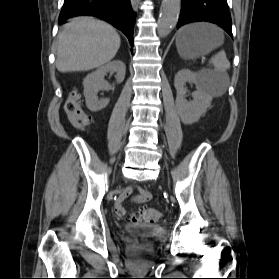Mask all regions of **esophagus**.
I'll return each mask as SVG.
<instances>
[{
    "mask_svg": "<svg viewBox=\"0 0 279 279\" xmlns=\"http://www.w3.org/2000/svg\"><path fill=\"white\" fill-rule=\"evenodd\" d=\"M139 1L140 0H131L132 7H133L134 10H137Z\"/></svg>",
    "mask_w": 279,
    "mask_h": 279,
    "instance_id": "34e87169",
    "label": "esophagus"
}]
</instances>
